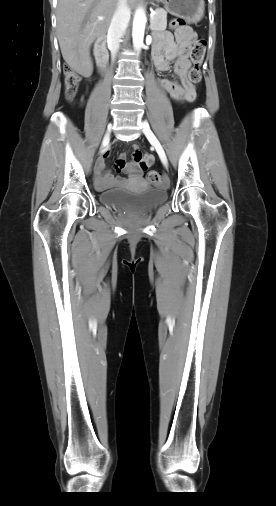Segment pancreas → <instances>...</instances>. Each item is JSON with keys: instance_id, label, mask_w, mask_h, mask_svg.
I'll list each match as a JSON object with an SVG mask.
<instances>
[{"instance_id": "cf45deb5", "label": "pancreas", "mask_w": 276, "mask_h": 506, "mask_svg": "<svg viewBox=\"0 0 276 506\" xmlns=\"http://www.w3.org/2000/svg\"><path fill=\"white\" fill-rule=\"evenodd\" d=\"M167 26V12L164 9H157L156 13L151 20V30L153 32L156 31H164Z\"/></svg>"}]
</instances>
